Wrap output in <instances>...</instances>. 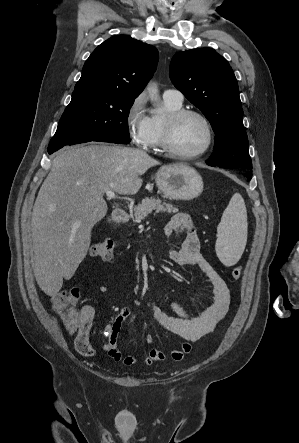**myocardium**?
<instances>
[{
	"mask_svg": "<svg viewBox=\"0 0 299 443\" xmlns=\"http://www.w3.org/2000/svg\"><path fill=\"white\" fill-rule=\"evenodd\" d=\"M187 116H195L199 118L205 125L207 130V140L203 148L194 153H182L177 151L172 145V137L177 124ZM214 140V130L210 120L201 112L193 109H179L168 113L163 121L161 148L168 155L184 160L196 159L206 154L211 148Z\"/></svg>",
	"mask_w": 299,
	"mask_h": 443,
	"instance_id": "f54148a6",
	"label": "myocardium"
}]
</instances>
